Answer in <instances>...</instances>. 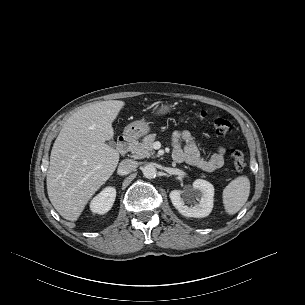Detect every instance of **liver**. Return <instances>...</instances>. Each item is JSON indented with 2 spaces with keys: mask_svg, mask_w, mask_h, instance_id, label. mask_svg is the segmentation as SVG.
Wrapping results in <instances>:
<instances>
[{
  "mask_svg": "<svg viewBox=\"0 0 305 305\" xmlns=\"http://www.w3.org/2000/svg\"><path fill=\"white\" fill-rule=\"evenodd\" d=\"M125 102H96L75 112L56 138L47 172L49 199L66 220L77 221L95 192L114 173L119 153L106 141Z\"/></svg>",
  "mask_w": 305,
  "mask_h": 305,
  "instance_id": "obj_1",
  "label": "liver"
}]
</instances>
